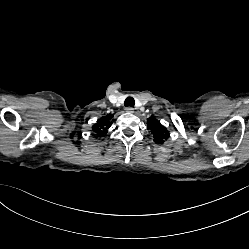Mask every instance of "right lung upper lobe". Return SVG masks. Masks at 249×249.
Instances as JSON below:
<instances>
[{"mask_svg":"<svg viewBox=\"0 0 249 249\" xmlns=\"http://www.w3.org/2000/svg\"><path fill=\"white\" fill-rule=\"evenodd\" d=\"M113 115L108 114L106 117L100 118L96 124L93 125L92 129L95 134L98 136H104L108 131L109 127L111 126Z\"/></svg>","mask_w":249,"mask_h":249,"instance_id":"1","label":"right lung upper lobe"}]
</instances>
